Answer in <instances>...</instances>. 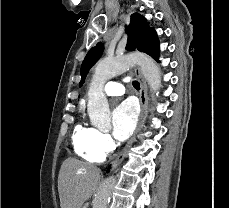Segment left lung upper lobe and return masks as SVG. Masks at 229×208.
<instances>
[{"label":"left lung upper lobe","instance_id":"obj_1","mask_svg":"<svg viewBox=\"0 0 229 208\" xmlns=\"http://www.w3.org/2000/svg\"><path fill=\"white\" fill-rule=\"evenodd\" d=\"M128 40L126 50H139L147 53L159 62V40L154 28L148 25L146 19L138 13L131 15L130 25L126 29ZM104 50V44L99 42L87 53L81 66V81L79 86L84 83L89 69L98 61Z\"/></svg>","mask_w":229,"mask_h":208}]
</instances>
